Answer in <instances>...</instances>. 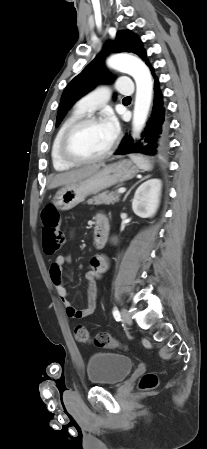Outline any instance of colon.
Wrapping results in <instances>:
<instances>
[{"label":"colon","instance_id":"obj_1","mask_svg":"<svg viewBox=\"0 0 207 449\" xmlns=\"http://www.w3.org/2000/svg\"><path fill=\"white\" fill-rule=\"evenodd\" d=\"M42 220V246L47 255L55 254L64 244L65 237L60 229V215L53 205H47L41 212ZM76 339L82 343H92L107 348H116L119 343L105 332L98 333L95 339H92L87 329L77 325L74 329ZM158 384V377L155 373H146L140 381V387L143 390H151Z\"/></svg>","mask_w":207,"mask_h":449}]
</instances>
